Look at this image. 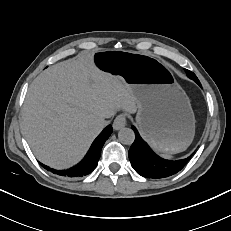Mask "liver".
<instances>
[{
    "mask_svg": "<svg viewBox=\"0 0 231 231\" xmlns=\"http://www.w3.org/2000/svg\"><path fill=\"white\" fill-rule=\"evenodd\" d=\"M137 99L118 76L99 70L93 53L60 62L30 85L21 128L34 155L55 168L79 162L117 111L134 114Z\"/></svg>",
    "mask_w": 231,
    "mask_h": 231,
    "instance_id": "liver-1",
    "label": "liver"
}]
</instances>
